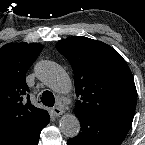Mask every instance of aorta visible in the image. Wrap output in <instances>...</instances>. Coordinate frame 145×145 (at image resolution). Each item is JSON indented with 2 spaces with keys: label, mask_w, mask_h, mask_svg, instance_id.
I'll return each instance as SVG.
<instances>
[{
  "label": "aorta",
  "mask_w": 145,
  "mask_h": 145,
  "mask_svg": "<svg viewBox=\"0 0 145 145\" xmlns=\"http://www.w3.org/2000/svg\"><path fill=\"white\" fill-rule=\"evenodd\" d=\"M36 74L42 82L56 93H67L70 89L71 83L68 76L54 62H40L36 67ZM59 128L63 135L73 138L79 134L81 125L74 114H64L59 121Z\"/></svg>",
  "instance_id": "obj_1"
}]
</instances>
